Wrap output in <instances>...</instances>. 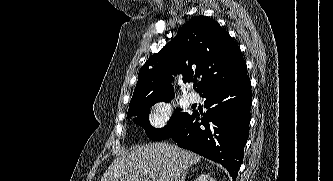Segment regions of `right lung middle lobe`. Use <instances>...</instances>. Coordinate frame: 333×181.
<instances>
[{"label": "right lung middle lobe", "mask_w": 333, "mask_h": 181, "mask_svg": "<svg viewBox=\"0 0 333 181\" xmlns=\"http://www.w3.org/2000/svg\"><path fill=\"white\" fill-rule=\"evenodd\" d=\"M172 98L151 100L143 102L142 104L135 106L128 110L127 118L134 117L133 121L139 124L145 129L147 136L155 141L164 140L170 138L183 123V121L189 116L188 113L180 112L181 109L177 108L176 114L173 115L169 123L160 129L152 127L148 120V114L152 105L157 102H170Z\"/></svg>", "instance_id": "right-lung-middle-lobe-1"}]
</instances>
